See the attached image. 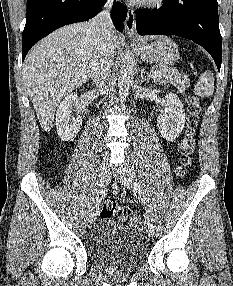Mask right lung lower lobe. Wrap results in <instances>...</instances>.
<instances>
[{"mask_svg":"<svg viewBox=\"0 0 233 286\" xmlns=\"http://www.w3.org/2000/svg\"><path fill=\"white\" fill-rule=\"evenodd\" d=\"M106 0H27V18L22 34V58L30 48L52 31L96 16ZM127 7L114 2L111 17L118 31H123Z\"/></svg>","mask_w":233,"mask_h":286,"instance_id":"98d812e1","label":"right lung lower lobe"}]
</instances>
